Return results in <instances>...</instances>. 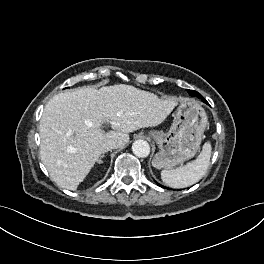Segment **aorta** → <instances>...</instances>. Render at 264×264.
<instances>
[{
  "instance_id": "aorta-1",
  "label": "aorta",
  "mask_w": 264,
  "mask_h": 264,
  "mask_svg": "<svg viewBox=\"0 0 264 264\" xmlns=\"http://www.w3.org/2000/svg\"><path fill=\"white\" fill-rule=\"evenodd\" d=\"M132 151L137 157L145 158L150 153V146L148 142L144 140H136L132 144Z\"/></svg>"
}]
</instances>
